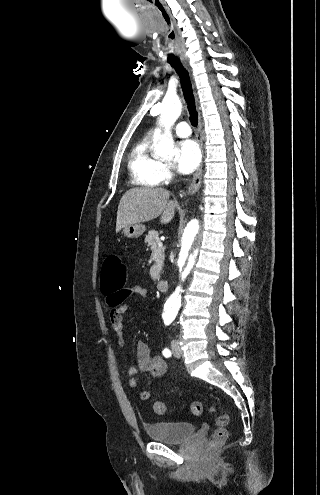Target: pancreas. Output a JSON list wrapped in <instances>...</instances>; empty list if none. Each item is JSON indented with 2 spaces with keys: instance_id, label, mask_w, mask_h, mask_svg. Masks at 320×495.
<instances>
[{
  "instance_id": "obj_1",
  "label": "pancreas",
  "mask_w": 320,
  "mask_h": 495,
  "mask_svg": "<svg viewBox=\"0 0 320 495\" xmlns=\"http://www.w3.org/2000/svg\"><path fill=\"white\" fill-rule=\"evenodd\" d=\"M159 242L158 232L155 230L149 231L148 235H146L145 243L151 250L159 249V258L156 260V264L152 268L161 269L164 262V248L158 246Z\"/></svg>"
}]
</instances>
